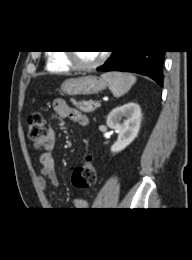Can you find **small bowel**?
<instances>
[{"label":"small bowel","mask_w":192,"mask_h":260,"mask_svg":"<svg viewBox=\"0 0 192 260\" xmlns=\"http://www.w3.org/2000/svg\"><path fill=\"white\" fill-rule=\"evenodd\" d=\"M53 108L55 113L60 118H68L73 122L80 125H87L88 119L80 111L71 108L65 100L61 98H56L53 100ZM55 145V133L52 129L47 131V142L45 146V151L40 156L41 168L39 171V185L42 189H45L47 182L52 186L57 187L59 185L58 177L55 170V161L52 157L50 150L53 149ZM90 203L84 199H75L73 201V207L76 210H85L89 208Z\"/></svg>","instance_id":"c3829d8e"}]
</instances>
